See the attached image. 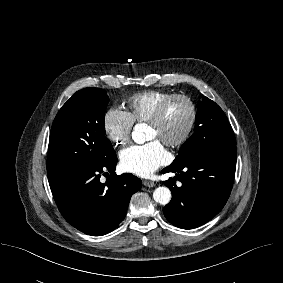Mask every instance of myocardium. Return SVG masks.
I'll list each match as a JSON object with an SVG mask.
<instances>
[{
	"label": "myocardium",
	"instance_id": "1",
	"mask_svg": "<svg viewBox=\"0 0 283 283\" xmlns=\"http://www.w3.org/2000/svg\"><path fill=\"white\" fill-rule=\"evenodd\" d=\"M176 100H181L187 104L189 108V119H188L185 129L183 130V132L178 138L173 139V140H166L163 142L167 146H171V147H177V146H181L182 144H184L189 139L195 127V124L197 122L198 112H197V106L194 100L190 96L183 94V93L170 94L168 97H166L163 101L159 103L154 113L152 114L150 119L147 121L148 125H151L154 127L160 126L167 108L172 102Z\"/></svg>",
	"mask_w": 283,
	"mask_h": 283
}]
</instances>
